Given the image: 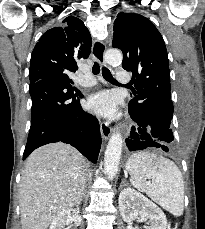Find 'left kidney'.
Returning a JSON list of instances; mask_svg holds the SVG:
<instances>
[{
	"mask_svg": "<svg viewBox=\"0 0 205 229\" xmlns=\"http://www.w3.org/2000/svg\"><path fill=\"white\" fill-rule=\"evenodd\" d=\"M119 210L125 222L131 223L138 218L148 220L147 229H166L167 219L163 211L140 192L125 188L119 195Z\"/></svg>",
	"mask_w": 205,
	"mask_h": 229,
	"instance_id": "left-kidney-1",
	"label": "left kidney"
}]
</instances>
